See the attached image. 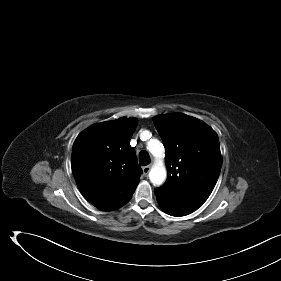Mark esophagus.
<instances>
[{"mask_svg":"<svg viewBox=\"0 0 281 281\" xmlns=\"http://www.w3.org/2000/svg\"><path fill=\"white\" fill-rule=\"evenodd\" d=\"M150 169H151V165L144 166L142 169L144 175H147L149 173Z\"/></svg>","mask_w":281,"mask_h":281,"instance_id":"obj_1","label":"esophagus"}]
</instances>
